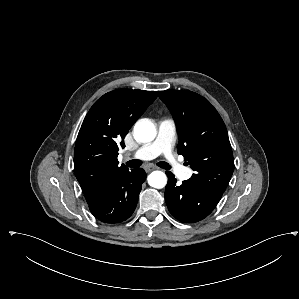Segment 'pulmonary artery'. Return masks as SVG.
I'll list each match as a JSON object with an SVG mask.
<instances>
[{
    "mask_svg": "<svg viewBox=\"0 0 299 299\" xmlns=\"http://www.w3.org/2000/svg\"><path fill=\"white\" fill-rule=\"evenodd\" d=\"M175 134L176 126L174 121L172 119L161 120L156 139L136 150L132 154V157L140 160H148L162 154L181 179H189L192 175V170L182 166L172 153Z\"/></svg>",
    "mask_w": 299,
    "mask_h": 299,
    "instance_id": "e3ab8cb5",
    "label": "pulmonary artery"
}]
</instances>
